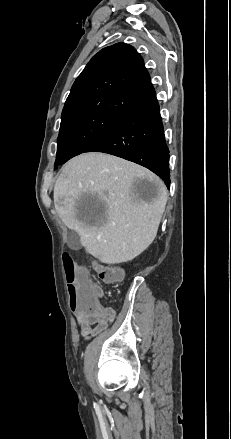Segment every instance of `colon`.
<instances>
[{
    "instance_id": "1",
    "label": "colon",
    "mask_w": 231,
    "mask_h": 439,
    "mask_svg": "<svg viewBox=\"0 0 231 439\" xmlns=\"http://www.w3.org/2000/svg\"><path fill=\"white\" fill-rule=\"evenodd\" d=\"M63 263L70 296L69 313H84L86 320H93L95 310L99 317L103 318L104 314L99 299L102 293L100 287L93 282L87 271L77 269L69 254H64ZM95 269L99 278L105 283H115L122 278V271L116 267L95 263Z\"/></svg>"
}]
</instances>
